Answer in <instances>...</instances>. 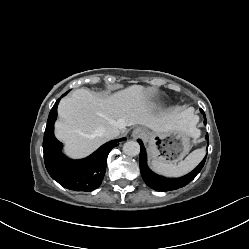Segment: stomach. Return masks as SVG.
<instances>
[{
    "label": "stomach",
    "instance_id": "obj_1",
    "mask_svg": "<svg viewBox=\"0 0 249 249\" xmlns=\"http://www.w3.org/2000/svg\"><path fill=\"white\" fill-rule=\"evenodd\" d=\"M191 135L182 128L168 132H146L149 155L154 160L176 163L190 151Z\"/></svg>",
    "mask_w": 249,
    "mask_h": 249
}]
</instances>
